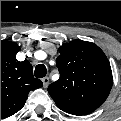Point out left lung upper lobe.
<instances>
[{
	"label": "left lung upper lobe",
	"mask_w": 121,
	"mask_h": 121,
	"mask_svg": "<svg viewBox=\"0 0 121 121\" xmlns=\"http://www.w3.org/2000/svg\"><path fill=\"white\" fill-rule=\"evenodd\" d=\"M60 78L48 92L57 106L72 115L89 114L108 97L112 87L110 63L94 43L74 40L59 48Z\"/></svg>",
	"instance_id": "5c2ea615"
}]
</instances>
